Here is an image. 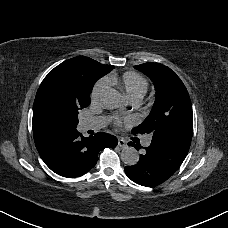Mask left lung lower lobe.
<instances>
[{
	"mask_svg": "<svg viewBox=\"0 0 228 228\" xmlns=\"http://www.w3.org/2000/svg\"><path fill=\"white\" fill-rule=\"evenodd\" d=\"M138 138L132 140L136 142ZM129 142L137 150L141 148L136 142ZM190 144L161 136H152L150 146L140 155L138 163L125 167L126 175L142 186H156L171 177L184 161Z\"/></svg>",
	"mask_w": 228,
	"mask_h": 228,
	"instance_id": "obj_1",
	"label": "left lung lower lobe"
}]
</instances>
